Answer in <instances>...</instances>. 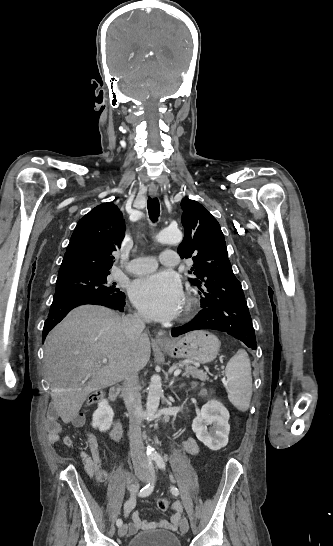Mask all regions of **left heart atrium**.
Here are the masks:
<instances>
[{"instance_id": "39dd6f15", "label": "left heart atrium", "mask_w": 333, "mask_h": 546, "mask_svg": "<svg viewBox=\"0 0 333 546\" xmlns=\"http://www.w3.org/2000/svg\"><path fill=\"white\" fill-rule=\"evenodd\" d=\"M130 296L143 314L158 321L172 319L183 304L181 283L170 272H158L134 281Z\"/></svg>"}]
</instances>
